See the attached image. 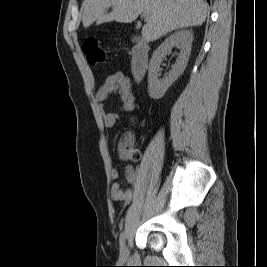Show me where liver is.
Segmentation results:
<instances>
[{"label": "liver", "mask_w": 267, "mask_h": 267, "mask_svg": "<svg viewBox=\"0 0 267 267\" xmlns=\"http://www.w3.org/2000/svg\"><path fill=\"white\" fill-rule=\"evenodd\" d=\"M109 7L113 10L107 13ZM81 10L84 28L95 21L131 23L146 13L142 37L150 42L173 30L202 25L208 5L203 0H84Z\"/></svg>", "instance_id": "1"}]
</instances>
